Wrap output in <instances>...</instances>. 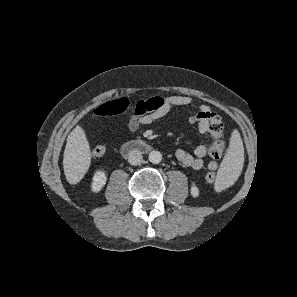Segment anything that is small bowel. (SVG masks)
Returning a JSON list of instances; mask_svg holds the SVG:
<instances>
[{
	"label": "small bowel",
	"mask_w": 297,
	"mask_h": 297,
	"mask_svg": "<svg viewBox=\"0 0 297 297\" xmlns=\"http://www.w3.org/2000/svg\"><path fill=\"white\" fill-rule=\"evenodd\" d=\"M149 104L148 110L141 115L135 114L129 121V129L136 131L141 125L150 124L161 117L165 116L174 107H191L194 108V100L189 96L172 95L167 97H152L146 100ZM213 112L207 105H200L197 112L190 117L189 124L197 127L201 134L209 132V121ZM207 155V145H198L193 154L183 149L176 150L175 156L177 160L185 167L193 170H201L205 166L204 157ZM209 171H216L219 163L210 161L207 163Z\"/></svg>",
	"instance_id": "obj_1"
}]
</instances>
